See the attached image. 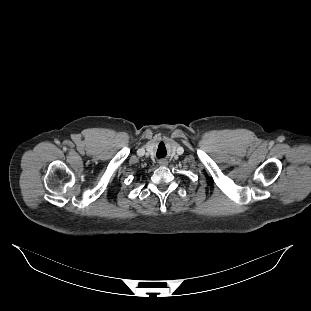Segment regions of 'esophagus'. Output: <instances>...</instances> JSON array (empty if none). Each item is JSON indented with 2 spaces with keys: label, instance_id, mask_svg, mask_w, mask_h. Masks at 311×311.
I'll return each mask as SVG.
<instances>
[{
  "label": "esophagus",
  "instance_id": "obj_1",
  "mask_svg": "<svg viewBox=\"0 0 311 311\" xmlns=\"http://www.w3.org/2000/svg\"><path fill=\"white\" fill-rule=\"evenodd\" d=\"M159 165H160L161 167H166V166L168 165V162H167L166 160H160V161H159Z\"/></svg>",
  "mask_w": 311,
  "mask_h": 311
}]
</instances>
